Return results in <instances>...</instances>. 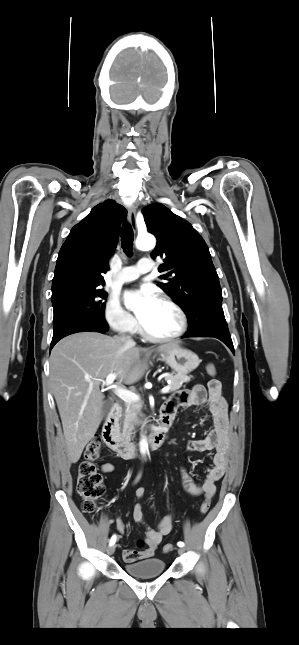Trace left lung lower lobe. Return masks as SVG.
<instances>
[{
    "label": "left lung lower lobe",
    "mask_w": 299,
    "mask_h": 645,
    "mask_svg": "<svg viewBox=\"0 0 299 645\" xmlns=\"http://www.w3.org/2000/svg\"><path fill=\"white\" fill-rule=\"evenodd\" d=\"M209 320L203 330L199 332H187L183 338L187 337H215L224 342L234 353L232 339L227 327L222 304H217L209 311Z\"/></svg>",
    "instance_id": "1"
}]
</instances>
